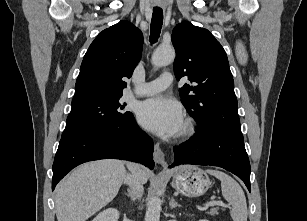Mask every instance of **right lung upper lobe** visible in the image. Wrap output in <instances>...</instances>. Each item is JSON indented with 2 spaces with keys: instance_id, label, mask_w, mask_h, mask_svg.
Masks as SVG:
<instances>
[{
  "instance_id": "right-lung-upper-lobe-1",
  "label": "right lung upper lobe",
  "mask_w": 307,
  "mask_h": 221,
  "mask_svg": "<svg viewBox=\"0 0 307 221\" xmlns=\"http://www.w3.org/2000/svg\"><path fill=\"white\" fill-rule=\"evenodd\" d=\"M142 45V32L128 21L99 33L83 58L72 103L122 95V78L131 77Z\"/></svg>"
}]
</instances>
